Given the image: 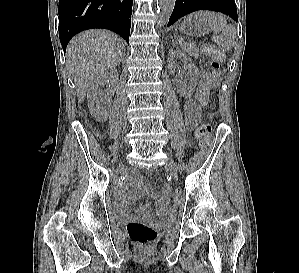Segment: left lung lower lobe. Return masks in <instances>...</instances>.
<instances>
[{
	"label": "left lung lower lobe",
	"mask_w": 299,
	"mask_h": 273,
	"mask_svg": "<svg viewBox=\"0 0 299 273\" xmlns=\"http://www.w3.org/2000/svg\"><path fill=\"white\" fill-rule=\"evenodd\" d=\"M197 10L218 11L229 15L235 21L238 20L234 0H176L167 26H170L179 18Z\"/></svg>",
	"instance_id": "1"
}]
</instances>
